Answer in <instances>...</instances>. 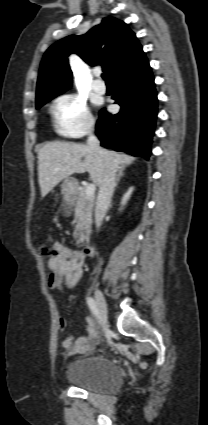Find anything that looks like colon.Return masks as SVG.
I'll list each match as a JSON object with an SVG mask.
<instances>
[{
    "label": "colon",
    "instance_id": "colon-1",
    "mask_svg": "<svg viewBox=\"0 0 208 425\" xmlns=\"http://www.w3.org/2000/svg\"><path fill=\"white\" fill-rule=\"evenodd\" d=\"M39 252H40L42 257H52L55 253L53 248L46 245V244H41L39 246Z\"/></svg>",
    "mask_w": 208,
    "mask_h": 425
}]
</instances>
